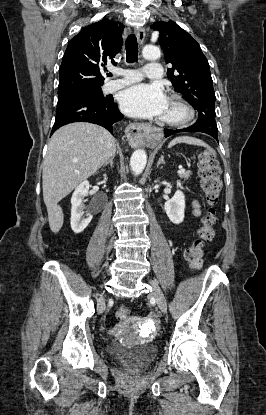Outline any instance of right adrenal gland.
Listing matches in <instances>:
<instances>
[{"instance_id": "right-adrenal-gland-1", "label": "right adrenal gland", "mask_w": 266, "mask_h": 415, "mask_svg": "<svg viewBox=\"0 0 266 415\" xmlns=\"http://www.w3.org/2000/svg\"><path fill=\"white\" fill-rule=\"evenodd\" d=\"M114 157H115V155L113 157H111L107 162H105L103 167H106L107 165H110L112 167Z\"/></svg>"}]
</instances>
